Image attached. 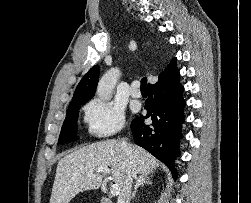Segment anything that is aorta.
<instances>
[{"label":"aorta","mask_w":251,"mask_h":203,"mask_svg":"<svg viewBox=\"0 0 251 203\" xmlns=\"http://www.w3.org/2000/svg\"><path fill=\"white\" fill-rule=\"evenodd\" d=\"M120 75L121 72L118 68H112L102 76L97 86V95L101 100H110Z\"/></svg>","instance_id":"aorta-1"}]
</instances>
